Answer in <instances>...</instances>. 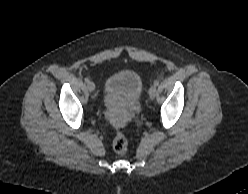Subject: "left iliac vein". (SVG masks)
Segmentation results:
<instances>
[{
	"mask_svg": "<svg viewBox=\"0 0 248 194\" xmlns=\"http://www.w3.org/2000/svg\"><path fill=\"white\" fill-rule=\"evenodd\" d=\"M149 95L151 98H155L156 95H157V89L155 86H152L150 89H149Z\"/></svg>",
	"mask_w": 248,
	"mask_h": 194,
	"instance_id": "1",
	"label": "left iliac vein"
}]
</instances>
